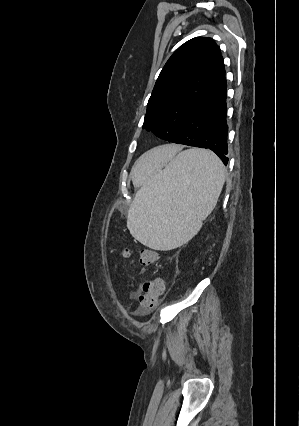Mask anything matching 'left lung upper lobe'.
Instances as JSON below:
<instances>
[{
  "instance_id": "1",
  "label": "left lung upper lobe",
  "mask_w": 299,
  "mask_h": 426,
  "mask_svg": "<svg viewBox=\"0 0 299 426\" xmlns=\"http://www.w3.org/2000/svg\"><path fill=\"white\" fill-rule=\"evenodd\" d=\"M220 48L211 38L181 45L163 67L147 104L143 128L171 142L192 113L225 82Z\"/></svg>"
}]
</instances>
